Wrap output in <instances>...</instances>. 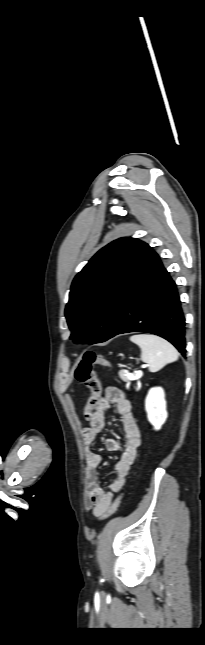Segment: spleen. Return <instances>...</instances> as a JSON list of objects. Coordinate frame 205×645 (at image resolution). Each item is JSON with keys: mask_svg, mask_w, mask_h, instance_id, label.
I'll list each match as a JSON object with an SVG mask.
<instances>
[{"mask_svg": "<svg viewBox=\"0 0 205 645\" xmlns=\"http://www.w3.org/2000/svg\"><path fill=\"white\" fill-rule=\"evenodd\" d=\"M130 340L141 348V359L150 372H157L165 365L178 360V352L168 341L152 334H137Z\"/></svg>", "mask_w": 205, "mask_h": 645, "instance_id": "3e777b00", "label": "spleen"}]
</instances>
